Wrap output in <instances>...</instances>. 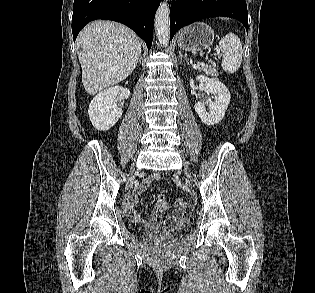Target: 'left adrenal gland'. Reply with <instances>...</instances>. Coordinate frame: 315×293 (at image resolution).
<instances>
[{"instance_id": "obj_1", "label": "left adrenal gland", "mask_w": 315, "mask_h": 293, "mask_svg": "<svg viewBox=\"0 0 315 293\" xmlns=\"http://www.w3.org/2000/svg\"><path fill=\"white\" fill-rule=\"evenodd\" d=\"M179 59H180V60L185 59V60L187 61L186 57L183 56L181 52H179ZM187 62H188V61H187Z\"/></svg>"}]
</instances>
